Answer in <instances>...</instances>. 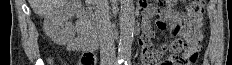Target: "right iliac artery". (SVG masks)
<instances>
[{
	"mask_svg": "<svg viewBox=\"0 0 232 65\" xmlns=\"http://www.w3.org/2000/svg\"><path fill=\"white\" fill-rule=\"evenodd\" d=\"M124 61V58H121V57H118L116 62H115V65H121Z\"/></svg>",
	"mask_w": 232,
	"mask_h": 65,
	"instance_id": "82829eb1",
	"label": "right iliac artery"
}]
</instances>
